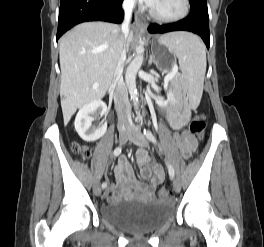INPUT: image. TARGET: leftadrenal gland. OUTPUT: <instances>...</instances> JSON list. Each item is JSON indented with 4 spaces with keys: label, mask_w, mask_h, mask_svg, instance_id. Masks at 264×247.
<instances>
[{
    "label": "left adrenal gland",
    "mask_w": 264,
    "mask_h": 247,
    "mask_svg": "<svg viewBox=\"0 0 264 247\" xmlns=\"http://www.w3.org/2000/svg\"><path fill=\"white\" fill-rule=\"evenodd\" d=\"M152 63H155V60H154V54L152 53V55H150V59L148 61V64L151 65Z\"/></svg>",
    "instance_id": "1"
}]
</instances>
